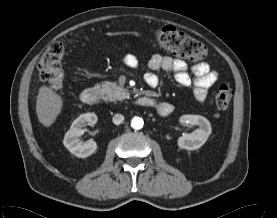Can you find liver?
Listing matches in <instances>:
<instances>
[{
  "label": "liver",
  "instance_id": "liver-1",
  "mask_svg": "<svg viewBox=\"0 0 277 218\" xmlns=\"http://www.w3.org/2000/svg\"><path fill=\"white\" fill-rule=\"evenodd\" d=\"M63 100L51 88L42 86L36 99V113L39 122L45 127L51 126L61 113Z\"/></svg>",
  "mask_w": 277,
  "mask_h": 218
}]
</instances>
